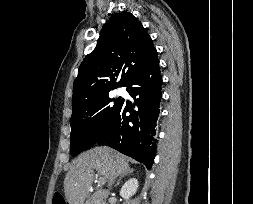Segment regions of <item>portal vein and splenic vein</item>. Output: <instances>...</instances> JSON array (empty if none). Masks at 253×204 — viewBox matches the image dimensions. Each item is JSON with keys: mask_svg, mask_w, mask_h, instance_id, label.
Listing matches in <instances>:
<instances>
[{"mask_svg": "<svg viewBox=\"0 0 253 204\" xmlns=\"http://www.w3.org/2000/svg\"><path fill=\"white\" fill-rule=\"evenodd\" d=\"M97 183H98V186H100V185L104 184L105 182L102 181L101 179H99V180L97 181Z\"/></svg>", "mask_w": 253, "mask_h": 204, "instance_id": "obj_1", "label": "portal vein and splenic vein"}]
</instances>
